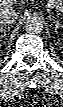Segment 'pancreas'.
I'll list each match as a JSON object with an SVG mask.
<instances>
[{"mask_svg": "<svg viewBox=\"0 0 63 107\" xmlns=\"http://www.w3.org/2000/svg\"><path fill=\"white\" fill-rule=\"evenodd\" d=\"M51 4L53 7H55L57 10L62 11L63 6H62V1L61 0H53L51 1Z\"/></svg>", "mask_w": 63, "mask_h": 107, "instance_id": "pancreas-1", "label": "pancreas"}]
</instances>
